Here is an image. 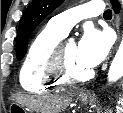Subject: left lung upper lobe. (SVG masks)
<instances>
[{
    "instance_id": "5c2ea615",
    "label": "left lung upper lobe",
    "mask_w": 123,
    "mask_h": 113,
    "mask_svg": "<svg viewBox=\"0 0 123 113\" xmlns=\"http://www.w3.org/2000/svg\"><path fill=\"white\" fill-rule=\"evenodd\" d=\"M64 0H33L25 10L18 28L16 56L23 59L32 31Z\"/></svg>"
}]
</instances>
